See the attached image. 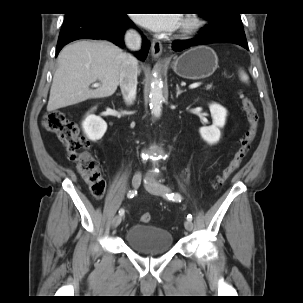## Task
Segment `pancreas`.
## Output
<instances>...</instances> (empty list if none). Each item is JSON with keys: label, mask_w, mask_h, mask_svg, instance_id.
I'll list each match as a JSON object with an SVG mask.
<instances>
[{"label": "pancreas", "mask_w": 303, "mask_h": 303, "mask_svg": "<svg viewBox=\"0 0 303 303\" xmlns=\"http://www.w3.org/2000/svg\"><path fill=\"white\" fill-rule=\"evenodd\" d=\"M206 89H207V90L212 89V85H211V84H208V85L206 86Z\"/></svg>", "instance_id": "obj_1"}]
</instances>
